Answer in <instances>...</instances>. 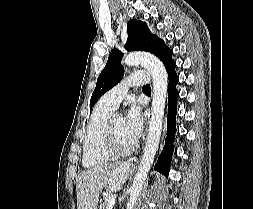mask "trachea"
I'll use <instances>...</instances> for the list:
<instances>
[{"label":"trachea","instance_id":"1","mask_svg":"<svg viewBox=\"0 0 253 209\" xmlns=\"http://www.w3.org/2000/svg\"><path fill=\"white\" fill-rule=\"evenodd\" d=\"M143 88H150V86L149 85H145V86H143Z\"/></svg>","mask_w":253,"mask_h":209}]
</instances>
